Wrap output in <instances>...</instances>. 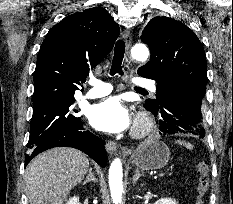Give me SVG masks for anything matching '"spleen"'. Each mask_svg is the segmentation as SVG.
<instances>
[{"instance_id": "1", "label": "spleen", "mask_w": 233, "mask_h": 204, "mask_svg": "<svg viewBox=\"0 0 233 204\" xmlns=\"http://www.w3.org/2000/svg\"><path fill=\"white\" fill-rule=\"evenodd\" d=\"M176 143L180 144V145H184L187 149L192 150L193 149V145H191L190 143L184 142V141H176Z\"/></svg>"}]
</instances>
